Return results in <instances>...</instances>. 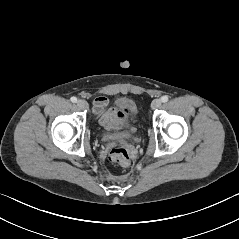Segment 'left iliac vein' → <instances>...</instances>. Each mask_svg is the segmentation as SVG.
<instances>
[{
    "mask_svg": "<svg viewBox=\"0 0 239 239\" xmlns=\"http://www.w3.org/2000/svg\"><path fill=\"white\" fill-rule=\"evenodd\" d=\"M161 104H162L161 99H155V100H153L152 103H151V108H152L153 110L158 109V108H160Z\"/></svg>",
    "mask_w": 239,
    "mask_h": 239,
    "instance_id": "4c4485c4",
    "label": "left iliac vein"
}]
</instances>
